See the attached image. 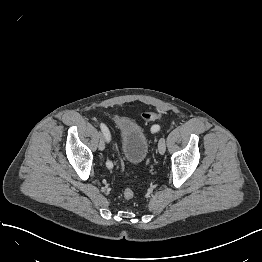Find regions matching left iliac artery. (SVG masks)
Segmentation results:
<instances>
[{
  "instance_id": "obj_1",
  "label": "left iliac artery",
  "mask_w": 262,
  "mask_h": 262,
  "mask_svg": "<svg viewBox=\"0 0 262 262\" xmlns=\"http://www.w3.org/2000/svg\"><path fill=\"white\" fill-rule=\"evenodd\" d=\"M160 129V126H158V125H154L153 127H152V130H155V131H157V130H159Z\"/></svg>"
}]
</instances>
